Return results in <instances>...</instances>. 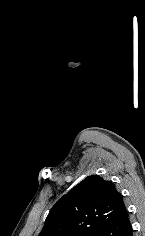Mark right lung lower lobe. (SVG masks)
I'll list each match as a JSON object with an SVG mask.
<instances>
[{"label": "right lung lower lobe", "instance_id": "1", "mask_svg": "<svg viewBox=\"0 0 145 236\" xmlns=\"http://www.w3.org/2000/svg\"><path fill=\"white\" fill-rule=\"evenodd\" d=\"M133 230L128 212H124L112 223L103 228L96 236H132Z\"/></svg>", "mask_w": 145, "mask_h": 236}]
</instances>
